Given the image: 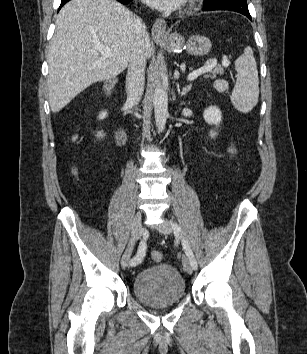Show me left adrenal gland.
I'll use <instances>...</instances> for the list:
<instances>
[{
	"instance_id": "a2214340",
	"label": "left adrenal gland",
	"mask_w": 307,
	"mask_h": 354,
	"mask_svg": "<svg viewBox=\"0 0 307 354\" xmlns=\"http://www.w3.org/2000/svg\"><path fill=\"white\" fill-rule=\"evenodd\" d=\"M191 87H192V85L189 84L188 86H186V87H184V88L182 89V92H181V93H180V89H178V92H179L182 96H184V95H186V94L190 91Z\"/></svg>"
}]
</instances>
